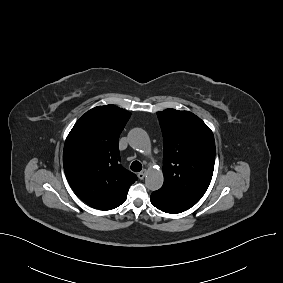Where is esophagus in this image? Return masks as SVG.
<instances>
[{"label":"esophagus","mask_w":283,"mask_h":283,"mask_svg":"<svg viewBox=\"0 0 283 283\" xmlns=\"http://www.w3.org/2000/svg\"><path fill=\"white\" fill-rule=\"evenodd\" d=\"M147 171L145 169H143L141 172L138 173V178L139 179H144V177L146 176Z\"/></svg>","instance_id":"34e87169"}]
</instances>
